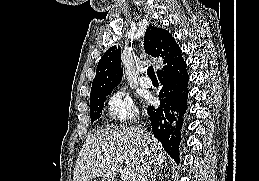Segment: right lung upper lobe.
<instances>
[{"instance_id":"right-lung-upper-lobe-1","label":"right lung upper lobe","mask_w":259,"mask_h":181,"mask_svg":"<svg viewBox=\"0 0 259 181\" xmlns=\"http://www.w3.org/2000/svg\"><path fill=\"white\" fill-rule=\"evenodd\" d=\"M144 49L153 57H162L166 64L181 52L172 35L165 29L149 26L144 37ZM120 46L110 47L98 62L96 76L91 87L90 98L112 92L122 79Z\"/></svg>"}]
</instances>
